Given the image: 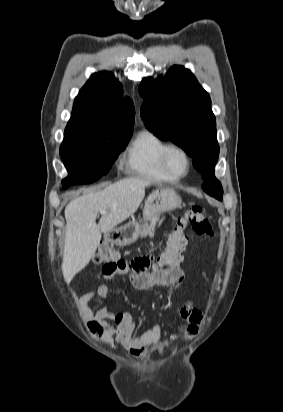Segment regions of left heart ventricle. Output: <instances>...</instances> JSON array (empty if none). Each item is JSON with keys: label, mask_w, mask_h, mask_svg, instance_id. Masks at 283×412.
Segmentation results:
<instances>
[{"label": "left heart ventricle", "mask_w": 283, "mask_h": 412, "mask_svg": "<svg viewBox=\"0 0 283 412\" xmlns=\"http://www.w3.org/2000/svg\"><path fill=\"white\" fill-rule=\"evenodd\" d=\"M170 167L178 173L184 172L186 169V159L179 152H173L169 158Z\"/></svg>", "instance_id": "obj_1"}]
</instances>
